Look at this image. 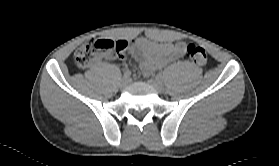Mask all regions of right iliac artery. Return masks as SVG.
Wrapping results in <instances>:
<instances>
[{
    "instance_id": "obj_1",
    "label": "right iliac artery",
    "mask_w": 279,
    "mask_h": 166,
    "mask_svg": "<svg viewBox=\"0 0 279 166\" xmlns=\"http://www.w3.org/2000/svg\"><path fill=\"white\" fill-rule=\"evenodd\" d=\"M123 75H124L125 78H128V77L131 76V71L130 70H125Z\"/></svg>"
}]
</instances>
